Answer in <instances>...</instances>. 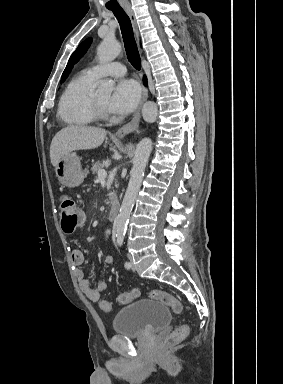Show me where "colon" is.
I'll return each mask as SVG.
<instances>
[{"label": "colon", "instance_id": "5ec220e1", "mask_svg": "<svg viewBox=\"0 0 283 384\" xmlns=\"http://www.w3.org/2000/svg\"><path fill=\"white\" fill-rule=\"evenodd\" d=\"M59 210H60V219H61V228L65 233H72L75 229L82 223L83 215L79 210L76 202L72 197L68 195H64L60 198L59 202ZM138 296V291L133 290L130 292L121 293L118 297L119 301L122 304H127L131 302L134 298ZM150 298L154 300H158L161 303L165 304L171 310L179 314L182 312L183 306L179 299L172 296L170 293L161 290V289H153L149 293ZM100 309L103 312H110L112 306L108 301L100 302ZM189 332V327L187 324H183L177 327L173 332H171L165 339L164 344L166 346H170L182 341Z\"/></svg>", "mask_w": 283, "mask_h": 384}]
</instances>
